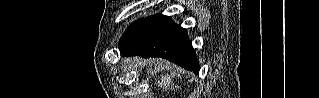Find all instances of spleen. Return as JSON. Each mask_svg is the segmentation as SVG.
Returning <instances> with one entry per match:
<instances>
[{
  "label": "spleen",
  "instance_id": "1",
  "mask_svg": "<svg viewBox=\"0 0 319 98\" xmlns=\"http://www.w3.org/2000/svg\"><path fill=\"white\" fill-rule=\"evenodd\" d=\"M176 75L175 72H172L170 75L169 74H165L162 75L160 78V81H158V86L163 88V90H167L168 88L171 87V89H174V84L172 83V78H174ZM178 88V86H175Z\"/></svg>",
  "mask_w": 319,
  "mask_h": 98
}]
</instances>
